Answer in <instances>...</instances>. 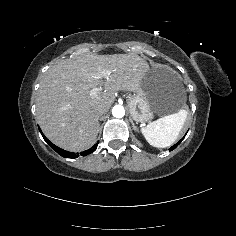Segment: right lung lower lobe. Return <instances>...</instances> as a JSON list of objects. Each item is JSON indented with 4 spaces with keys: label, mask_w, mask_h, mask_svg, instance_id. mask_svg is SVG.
I'll return each mask as SVG.
<instances>
[{
    "label": "right lung lower lobe",
    "mask_w": 236,
    "mask_h": 236,
    "mask_svg": "<svg viewBox=\"0 0 236 236\" xmlns=\"http://www.w3.org/2000/svg\"><path fill=\"white\" fill-rule=\"evenodd\" d=\"M39 130H40V129H39ZM40 132H41L43 138L45 139V141L49 144V146H50L52 149H54V150H55L59 155H61L62 157H65V158H76V157L79 156V153H76V154H75V153H72V152H69V151H65V150H63V149L57 147L56 145H54L52 142H50V141L43 135V133H42L41 130H40ZM97 145H98V142H97L91 149L86 150V151H83V152H81L80 154H81L82 156H86V155H88V154L94 152V151L96 150V148H97Z\"/></svg>",
    "instance_id": "obj_1"
}]
</instances>
